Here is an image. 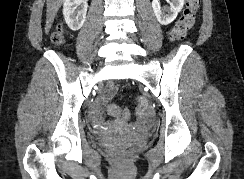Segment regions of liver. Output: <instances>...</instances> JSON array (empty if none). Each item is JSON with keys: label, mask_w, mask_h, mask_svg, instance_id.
<instances>
[{"label": "liver", "mask_w": 244, "mask_h": 179, "mask_svg": "<svg viewBox=\"0 0 244 179\" xmlns=\"http://www.w3.org/2000/svg\"><path fill=\"white\" fill-rule=\"evenodd\" d=\"M63 0H46L47 4V12H46V26H45V34L50 32V28L54 22V18L61 8Z\"/></svg>", "instance_id": "obj_1"}]
</instances>
